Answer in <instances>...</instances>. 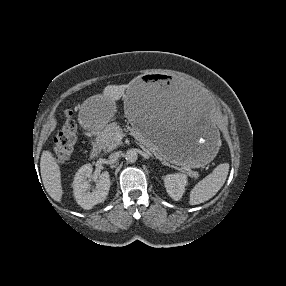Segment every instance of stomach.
<instances>
[{
  "label": "stomach",
  "instance_id": "stomach-1",
  "mask_svg": "<svg viewBox=\"0 0 286 286\" xmlns=\"http://www.w3.org/2000/svg\"><path fill=\"white\" fill-rule=\"evenodd\" d=\"M124 110L131 126L169 162L196 168L213 159L219 142L211 123L215 102L185 80L160 73L140 75L129 84ZM115 113L112 98L96 93L81 102L77 117L85 128L97 130L111 122Z\"/></svg>",
  "mask_w": 286,
  "mask_h": 286
}]
</instances>
